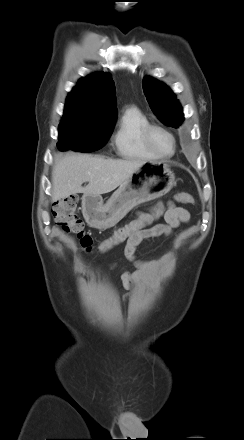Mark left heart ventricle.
<instances>
[{
  "mask_svg": "<svg viewBox=\"0 0 244 440\" xmlns=\"http://www.w3.org/2000/svg\"><path fill=\"white\" fill-rule=\"evenodd\" d=\"M151 144L155 150L164 155L171 153L173 150L171 138L167 134L158 130L152 133Z\"/></svg>",
  "mask_w": 244,
  "mask_h": 440,
  "instance_id": "1",
  "label": "left heart ventricle"
}]
</instances>
